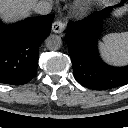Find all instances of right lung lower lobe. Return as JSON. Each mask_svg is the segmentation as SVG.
I'll return each instance as SVG.
<instances>
[{"label":"right lung lower lobe","mask_w":128,"mask_h":128,"mask_svg":"<svg viewBox=\"0 0 128 128\" xmlns=\"http://www.w3.org/2000/svg\"><path fill=\"white\" fill-rule=\"evenodd\" d=\"M53 14L6 26L0 22V83L21 85L37 73L38 47L51 31Z\"/></svg>","instance_id":"1"}]
</instances>
